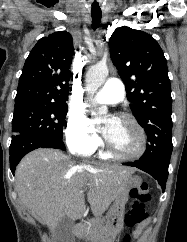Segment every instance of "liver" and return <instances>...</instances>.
<instances>
[{
  "instance_id": "obj_1",
  "label": "liver",
  "mask_w": 187,
  "mask_h": 242,
  "mask_svg": "<svg viewBox=\"0 0 187 242\" xmlns=\"http://www.w3.org/2000/svg\"><path fill=\"white\" fill-rule=\"evenodd\" d=\"M134 172L120 165H77L61 151L37 149L17 166L15 189L20 202L54 232L63 218L75 221L84 216V190L93 215L99 217L127 190Z\"/></svg>"
}]
</instances>
